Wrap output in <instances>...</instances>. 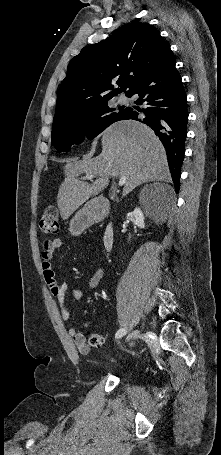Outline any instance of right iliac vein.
Returning <instances> with one entry per match:
<instances>
[{"label":"right iliac vein","mask_w":221,"mask_h":455,"mask_svg":"<svg viewBox=\"0 0 221 455\" xmlns=\"http://www.w3.org/2000/svg\"><path fill=\"white\" fill-rule=\"evenodd\" d=\"M140 336V331L139 330H135L133 331L131 334H129L127 336V341L131 340V339H137L138 337Z\"/></svg>","instance_id":"obj_1"}]
</instances>
